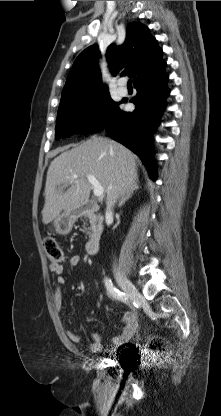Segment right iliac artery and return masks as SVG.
Here are the masks:
<instances>
[{
	"label": "right iliac artery",
	"instance_id": "obj_1",
	"mask_svg": "<svg viewBox=\"0 0 221 416\" xmlns=\"http://www.w3.org/2000/svg\"><path fill=\"white\" fill-rule=\"evenodd\" d=\"M105 286L110 296L124 303H129L125 293L117 289L109 278L105 279Z\"/></svg>",
	"mask_w": 221,
	"mask_h": 416
}]
</instances>
